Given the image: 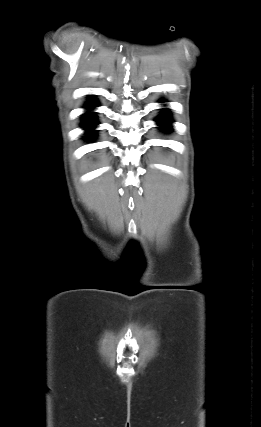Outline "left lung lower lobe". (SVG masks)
Segmentation results:
<instances>
[{"label":"left lung lower lobe","instance_id":"1","mask_svg":"<svg viewBox=\"0 0 261 427\" xmlns=\"http://www.w3.org/2000/svg\"><path fill=\"white\" fill-rule=\"evenodd\" d=\"M156 121L161 126V129H164L166 131H170L171 130V127L169 126V123L171 122V119H170V117H169V115L167 113L161 115Z\"/></svg>","mask_w":261,"mask_h":427}]
</instances>
